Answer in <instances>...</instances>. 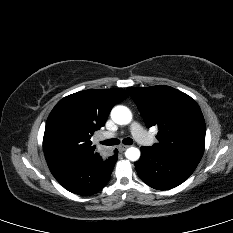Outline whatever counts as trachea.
<instances>
[{
	"label": "trachea",
	"mask_w": 233,
	"mask_h": 233,
	"mask_svg": "<svg viewBox=\"0 0 233 233\" xmlns=\"http://www.w3.org/2000/svg\"><path fill=\"white\" fill-rule=\"evenodd\" d=\"M100 143L106 146H112V145L119 144V140L114 138V139H108V140L101 141ZM132 143H133V140L131 138H125L123 140V144L132 145Z\"/></svg>",
	"instance_id": "obj_1"
}]
</instances>
